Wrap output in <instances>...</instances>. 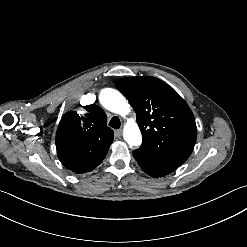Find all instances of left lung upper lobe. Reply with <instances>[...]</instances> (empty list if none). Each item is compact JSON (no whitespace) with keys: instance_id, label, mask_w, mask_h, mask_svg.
Segmentation results:
<instances>
[{"instance_id":"5c2ea615","label":"left lung upper lobe","mask_w":247,"mask_h":247,"mask_svg":"<svg viewBox=\"0 0 247 247\" xmlns=\"http://www.w3.org/2000/svg\"><path fill=\"white\" fill-rule=\"evenodd\" d=\"M115 86L136 111L143 137L140 148L181 166L197 138L194 115L183 98L150 76L121 78Z\"/></svg>"}]
</instances>
